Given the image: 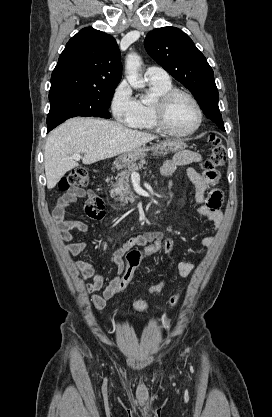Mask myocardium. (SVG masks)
Instances as JSON below:
<instances>
[{"label":"myocardium","mask_w":272,"mask_h":417,"mask_svg":"<svg viewBox=\"0 0 272 417\" xmlns=\"http://www.w3.org/2000/svg\"><path fill=\"white\" fill-rule=\"evenodd\" d=\"M178 97H185L191 101L197 112V122L195 126L186 132H177L173 130L167 122L168 110L172 102ZM153 117L159 130L173 137H188L193 135L202 125L203 111L197 99L189 92L181 89H171L159 96L153 104Z\"/></svg>","instance_id":"myocardium-1"}]
</instances>
